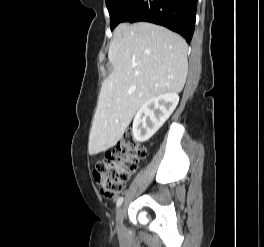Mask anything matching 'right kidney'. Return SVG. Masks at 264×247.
I'll use <instances>...</instances> for the list:
<instances>
[{
  "label": "right kidney",
  "instance_id": "obj_1",
  "mask_svg": "<svg viewBox=\"0 0 264 247\" xmlns=\"http://www.w3.org/2000/svg\"><path fill=\"white\" fill-rule=\"evenodd\" d=\"M178 102L177 93H164L145 102L134 117V139L137 142L149 140L170 117Z\"/></svg>",
  "mask_w": 264,
  "mask_h": 247
}]
</instances>
